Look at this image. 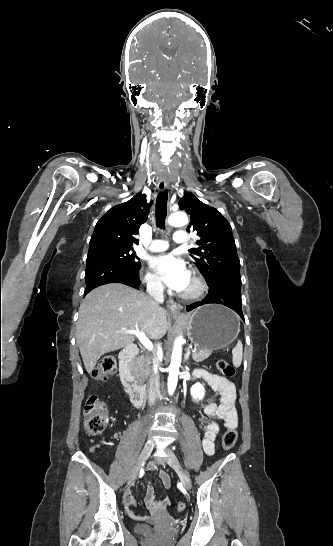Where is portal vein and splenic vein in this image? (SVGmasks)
I'll list each match as a JSON object with an SVG mask.
<instances>
[{
  "label": "portal vein and splenic vein",
  "instance_id": "18ae733b",
  "mask_svg": "<svg viewBox=\"0 0 333 546\" xmlns=\"http://www.w3.org/2000/svg\"><path fill=\"white\" fill-rule=\"evenodd\" d=\"M125 333H128V334H134L140 341V343L149 351H153L154 350V347H153V344L151 343V341L146 337L145 333L143 332H140V331H135V330H130V329H127L124 331ZM197 350L196 349H192V352L195 353Z\"/></svg>",
  "mask_w": 333,
  "mask_h": 546
}]
</instances>
